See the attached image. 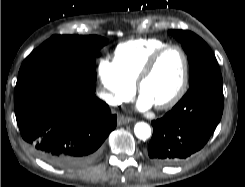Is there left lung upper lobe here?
Returning <instances> with one entry per match:
<instances>
[{
    "label": "left lung upper lobe",
    "mask_w": 245,
    "mask_h": 187,
    "mask_svg": "<svg viewBox=\"0 0 245 187\" xmlns=\"http://www.w3.org/2000/svg\"><path fill=\"white\" fill-rule=\"evenodd\" d=\"M183 46L190 67V86L195 82L219 73L217 60L208 45L196 34L186 30H170Z\"/></svg>",
    "instance_id": "left-lung-upper-lobe-1"
}]
</instances>
